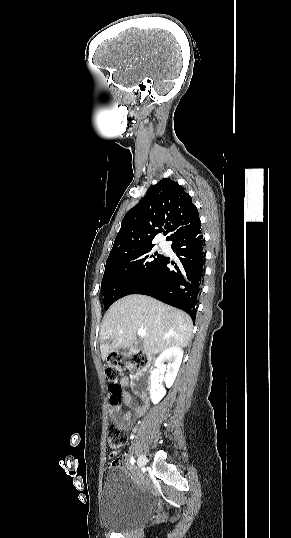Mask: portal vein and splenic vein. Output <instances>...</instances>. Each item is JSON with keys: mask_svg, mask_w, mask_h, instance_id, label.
<instances>
[{"mask_svg": "<svg viewBox=\"0 0 291 538\" xmlns=\"http://www.w3.org/2000/svg\"><path fill=\"white\" fill-rule=\"evenodd\" d=\"M120 332L122 333V331H120ZM138 335H139L140 337H144V336L146 335V330H144V329H139V330H138Z\"/></svg>", "mask_w": 291, "mask_h": 538, "instance_id": "1", "label": "portal vein and splenic vein"}]
</instances>
